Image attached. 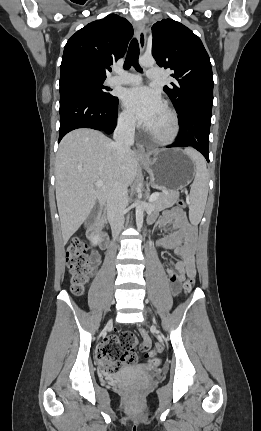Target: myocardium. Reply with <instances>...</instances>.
<instances>
[{
	"mask_svg": "<svg viewBox=\"0 0 261 431\" xmlns=\"http://www.w3.org/2000/svg\"><path fill=\"white\" fill-rule=\"evenodd\" d=\"M164 110L170 119V130L165 134H159L148 128L147 133L155 143L161 145H168L173 143L177 138L180 130V124L177 113L172 108H170L169 106H165Z\"/></svg>",
	"mask_w": 261,
	"mask_h": 431,
	"instance_id": "obj_1",
	"label": "myocardium"
}]
</instances>
